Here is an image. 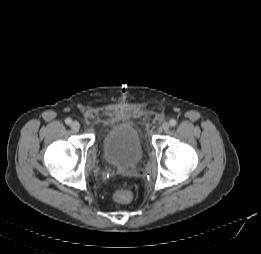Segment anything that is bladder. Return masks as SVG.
Masks as SVG:
<instances>
[{"mask_svg":"<svg viewBox=\"0 0 261 254\" xmlns=\"http://www.w3.org/2000/svg\"><path fill=\"white\" fill-rule=\"evenodd\" d=\"M105 160L120 169L134 167L143 156V144L138 129L130 123L112 126L102 140Z\"/></svg>","mask_w":261,"mask_h":254,"instance_id":"bladder-1","label":"bladder"}]
</instances>
